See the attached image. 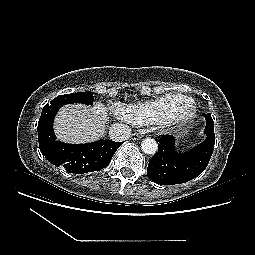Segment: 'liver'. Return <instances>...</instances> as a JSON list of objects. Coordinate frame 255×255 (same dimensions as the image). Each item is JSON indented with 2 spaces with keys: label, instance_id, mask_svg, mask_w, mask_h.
Returning <instances> with one entry per match:
<instances>
[{
  "label": "liver",
  "instance_id": "obj_1",
  "mask_svg": "<svg viewBox=\"0 0 255 255\" xmlns=\"http://www.w3.org/2000/svg\"><path fill=\"white\" fill-rule=\"evenodd\" d=\"M108 113L96 102L92 107L82 104L64 106L55 122L57 138L66 143H88L103 138L107 129Z\"/></svg>",
  "mask_w": 255,
  "mask_h": 255
}]
</instances>
